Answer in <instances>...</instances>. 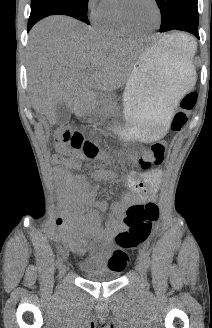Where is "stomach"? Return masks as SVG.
Returning a JSON list of instances; mask_svg holds the SVG:
<instances>
[{
	"instance_id": "obj_1",
	"label": "stomach",
	"mask_w": 212,
	"mask_h": 328,
	"mask_svg": "<svg viewBox=\"0 0 212 328\" xmlns=\"http://www.w3.org/2000/svg\"><path fill=\"white\" fill-rule=\"evenodd\" d=\"M193 56L158 40L139 56L123 94L125 136L142 141L161 139L169 128L178 100L196 82Z\"/></svg>"
}]
</instances>
